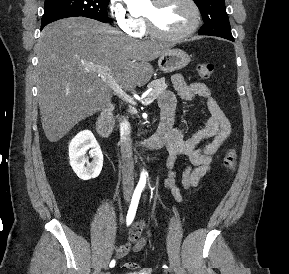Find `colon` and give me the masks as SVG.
Here are the masks:
<instances>
[{
    "instance_id": "colon-1",
    "label": "colon",
    "mask_w": 289,
    "mask_h": 274,
    "mask_svg": "<svg viewBox=\"0 0 289 274\" xmlns=\"http://www.w3.org/2000/svg\"><path fill=\"white\" fill-rule=\"evenodd\" d=\"M196 71L202 79H209L214 72V65L208 61L200 62L196 65ZM222 164L227 174L234 172L237 165V152L234 148L226 151ZM124 268L127 270H137L139 265L136 262L129 261L124 264Z\"/></svg>"
}]
</instances>
